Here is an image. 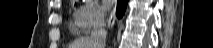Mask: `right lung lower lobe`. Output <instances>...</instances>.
I'll return each mask as SVG.
<instances>
[{"label": "right lung lower lobe", "mask_w": 213, "mask_h": 48, "mask_svg": "<svg viewBox=\"0 0 213 48\" xmlns=\"http://www.w3.org/2000/svg\"><path fill=\"white\" fill-rule=\"evenodd\" d=\"M128 0H117V17L121 18L124 14Z\"/></svg>", "instance_id": "obj_1"}]
</instances>
